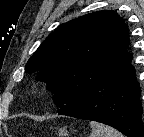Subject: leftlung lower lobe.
<instances>
[{
	"label": "left lung lower lobe",
	"instance_id": "0a47b994",
	"mask_svg": "<svg viewBox=\"0 0 144 137\" xmlns=\"http://www.w3.org/2000/svg\"><path fill=\"white\" fill-rule=\"evenodd\" d=\"M132 55L58 114L107 124L128 137H144L140 86Z\"/></svg>",
	"mask_w": 144,
	"mask_h": 137
}]
</instances>
